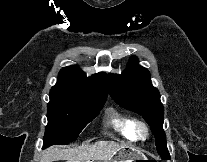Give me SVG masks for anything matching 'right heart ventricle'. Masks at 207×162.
Returning a JSON list of instances; mask_svg holds the SVG:
<instances>
[{
	"label": "right heart ventricle",
	"instance_id": "e07e8e85",
	"mask_svg": "<svg viewBox=\"0 0 207 162\" xmlns=\"http://www.w3.org/2000/svg\"><path fill=\"white\" fill-rule=\"evenodd\" d=\"M134 123V119L116 111H111L106 116V125L130 141L135 140Z\"/></svg>",
	"mask_w": 207,
	"mask_h": 162
}]
</instances>
